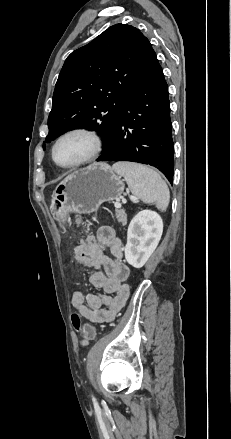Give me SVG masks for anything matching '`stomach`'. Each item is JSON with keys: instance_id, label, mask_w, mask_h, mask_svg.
Returning <instances> with one entry per match:
<instances>
[{"instance_id": "0dacf381", "label": "stomach", "mask_w": 231, "mask_h": 439, "mask_svg": "<svg viewBox=\"0 0 231 439\" xmlns=\"http://www.w3.org/2000/svg\"><path fill=\"white\" fill-rule=\"evenodd\" d=\"M125 184L106 163H94L74 171L53 190L50 209L61 228L71 213L90 214L106 201L121 197Z\"/></svg>"}]
</instances>
